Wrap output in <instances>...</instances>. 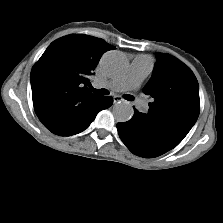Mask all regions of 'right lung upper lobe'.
<instances>
[{
	"instance_id": "right-lung-upper-lobe-1",
	"label": "right lung upper lobe",
	"mask_w": 223,
	"mask_h": 223,
	"mask_svg": "<svg viewBox=\"0 0 223 223\" xmlns=\"http://www.w3.org/2000/svg\"><path fill=\"white\" fill-rule=\"evenodd\" d=\"M113 48L98 38L69 35L46 49L31 71V87L35 112L51 132L71 131L93 114L101 96L89 92L88 75Z\"/></svg>"
}]
</instances>
